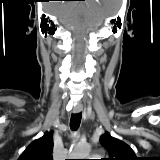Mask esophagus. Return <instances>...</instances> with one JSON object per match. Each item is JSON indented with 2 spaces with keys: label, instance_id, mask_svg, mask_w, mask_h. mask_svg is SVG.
<instances>
[{
  "label": "esophagus",
  "instance_id": "34e87169",
  "mask_svg": "<svg viewBox=\"0 0 160 160\" xmlns=\"http://www.w3.org/2000/svg\"><path fill=\"white\" fill-rule=\"evenodd\" d=\"M83 107L82 106H75L73 108V113H80L82 111Z\"/></svg>",
  "mask_w": 160,
  "mask_h": 160
}]
</instances>
